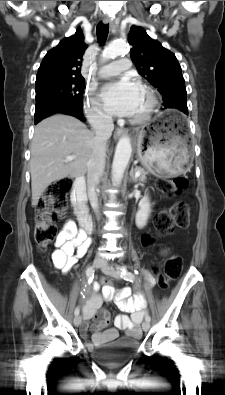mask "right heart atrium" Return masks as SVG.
<instances>
[{
  "instance_id": "1",
  "label": "right heart atrium",
  "mask_w": 225,
  "mask_h": 395,
  "mask_svg": "<svg viewBox=\"0 0 225 395\" xmlns=\"http://www.w3.org/2000/svg\"><path fill=\"white\" fill-rule=\"evenodd\" d=\"M85 113L87 118L94 123H106L110 119L109 115L104 111L100 103L92 97L91 93L87 97Z\"/></svg>"
}]
</instances>
